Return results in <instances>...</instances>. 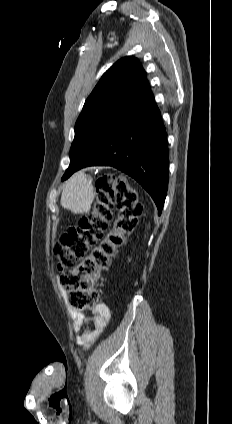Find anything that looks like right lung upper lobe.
<instances>
[{"label": "right lung upper lobe", "instance_id": "obj_1", "mask_svg": "<svg viewBox=\"0 0 232 424\" xmlns=\"http://www.w3.org/2000/svg\"><path fill=\"white\" fill-rule=\"evenodd\" d=\"M146 72L137 58L124 57L113 64L85 101L83 110L104 105H126L134 107L152 99Z\"/></svg>", "mask_w": 232, "mask_h": 424}]
</instances>
